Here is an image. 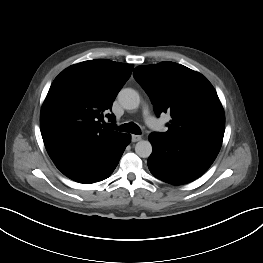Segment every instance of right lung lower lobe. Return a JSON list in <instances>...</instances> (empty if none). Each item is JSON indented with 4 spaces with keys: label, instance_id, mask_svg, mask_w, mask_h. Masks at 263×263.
<instances>
[{
    "label": "right lung lower lobe",
    "instance_id": "98d812e1",
    "mask_svg": "<svg viewBox=\"0 0 263 263\" xmlns=\"http://www.w3.org/2000/svg\"><path fill=\"white\" fill-rule=\"evenodd\" d=\"M130 140L129 134H123L111 145L78 155L56 166L65 176L76 182L89 184L101 181L115 170Z\"/></svg>",
    "mask_w": 263,
    "mask_h": 263
}]
</instances>
